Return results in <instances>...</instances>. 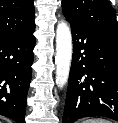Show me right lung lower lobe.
<instances>
[{
	"instance_id": "98d812e1",
	"label": "right lung lower lobe",
	"mask_w": 118,
	"mask_h": 123,
	"mask_svg": "<svg viewBox=\"0 0 118 123\" xmlns=\"http://www.w3.org/2000/svg\"><path fill=\"white\" fill-rule=\"evenodd\" d=\"M34 29L0 40V115L24 123L27 92L32 77Z\"/></svg>"
}]
</instances>
